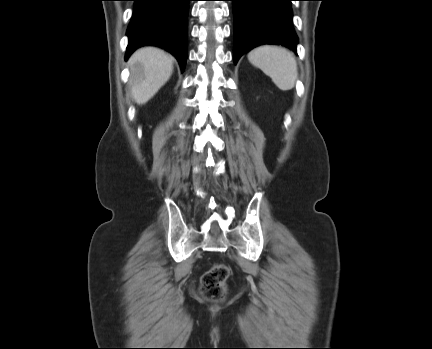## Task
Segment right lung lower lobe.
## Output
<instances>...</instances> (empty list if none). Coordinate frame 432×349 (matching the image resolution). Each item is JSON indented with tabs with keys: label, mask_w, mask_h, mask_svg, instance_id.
I'll list each match as a JSON object with an SVG mask.
<instances>
[{
	"label": "right lung lower lobe",
	"mask_w": 432,
	"mask_h": 349,
	"mask_svg": "<svg viewBox=\"0 0 432 349\" xmlns=\"http://www.w3.org/2000/svg\"><path fill=\"white\" fill-rule=\"evenodd\" d=\"M125 60L140 46L155 45L172 53L184 70L187 58V15L190 0H133Z\"/></svg>",
	"instance_id": "right-lung-lower-lobe-1"
}]
</instances>
